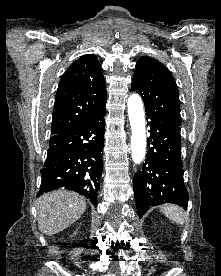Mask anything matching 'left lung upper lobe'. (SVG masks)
<instances>
[{
	"mask_svg": "<svg viewBox=\"0 0 221 276\" xmlns=\"http://www.w3.org/2000/svg\"><path fill=\"white\" fill-rule=\"evenodd\" d=\"M131 90L142 96L147 116L159 122L181 125L178 88L162 63L147 56L140 58Z\"/></svg>",
	"mask_w": 221,
	"mask_h": 276,
	"instance_id": "5c2ea615",
	"label": "left lung upper lobe"
}]
</instances>
